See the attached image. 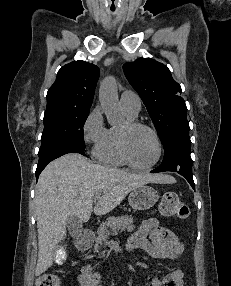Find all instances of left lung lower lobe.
Masks as SVG:
<instances>
[{
  "label": "left lung lower lobe",
  "mask_w": 231,
  "mask_h": 286,
  "mask_svg": "<svg viewBox=\"0 0 231 286\" xmlns=\"http://www.w3.org/2000/svg\"><path fill=\"white\" fill-rule=\"evenodd\" d=\"M165 154L160 167L151 172L172 171L177 172L187 179L193 189L195 184L192 175V159L190 156L191 141L188 133H179L164 144Z\"/></svg>",
  "instance_id": "1"
}]
</instances>
